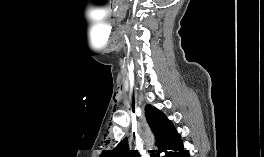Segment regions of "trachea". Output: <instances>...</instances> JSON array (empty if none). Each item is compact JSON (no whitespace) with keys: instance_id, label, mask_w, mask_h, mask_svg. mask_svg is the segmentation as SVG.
I'll use <instances>...</instances> for the list:
<instances>
[{"instance_id":"trachea-1","label":"trachea","mask_w":264,"mask_h":157,"mask_svg":"<svg viewBox=\"0 0 264 157\" xmlns=\"http://www.w3.org/2000/svg\"><path fill=\"white\" fill-rule=\"evenodd\" d=\"M152 157H158L155 153H152Z\"/></svg>"}]
</instances>
